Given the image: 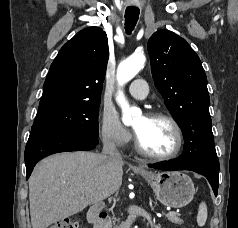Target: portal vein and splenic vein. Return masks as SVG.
<instances>
[{
  "label": "portal vein and splenic vein",
  "instance_id": "18ae733b",
  "mask_svg": "<svg viewBox=\"0 0 238 228\" xmlns=\"http://www.w3.org/2000/svg\"><path fill=\"white\" fill-rule=\"evenodd\" d=\"M167 215L175 216V215H176V212H174V211H169V212L167 213Z\"/></svg>",
  "mask_w": 238,
  "mask_h": 228
}]
</instances>
